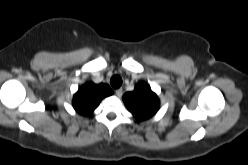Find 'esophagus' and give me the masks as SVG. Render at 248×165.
Instances as JSON below:
<instances>
[{
  "instance_id": "obj_1",
  "label": "esophagus",
  "mask_w": 248,
  "mask_h": 165,
  "mask_svg": "<svg viewBox=\"0 0 248 165\" xmlns=\"http://www.w3.org/2000/svg\"><path fill=\"white\" fill-rule=\"evenodd\" d=\"M122 93H123L122 88H119V89H116V90H115V94H116V96H118V97H120V96L122 95Z\"/></svg>"
}]
</instances>
